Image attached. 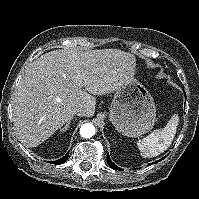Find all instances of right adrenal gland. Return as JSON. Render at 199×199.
I'll use <instances>...</instances> for the list:
<instances>
[{
  "mask_svg": "<svg viewBox=\"0 0 199 199\" xmlns=\"http://www.w3.org/2000/svg\"><path fill=\"white\" fill-rule=\"evenodd\" d=\"M72 119H73V118H71V119L65 124V126H64L63 128H61L60 130H61V131H66V130H68L69 125H70Z\"/></svg>",
  "mask_w": 199,
  "mask_h": 199,
  "instance_id": "right-adrenal-gland-1",
  "label": "right adrenal gland"
}]
</instances>
